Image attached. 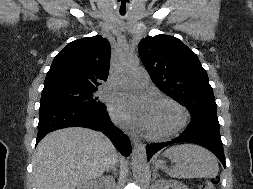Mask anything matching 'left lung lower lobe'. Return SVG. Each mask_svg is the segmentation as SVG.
<instances>
[{
	"mask_svg": "<svg viewBox=\"0 0 253 189\" xmlns=\"http://www.w3.org/2000/svg\"><path fill=\"white\" fill-rule=\"evenodd\" d=\"M179 142L195 143L209 149L226 167L223 145L219 133V122L207 119H192L187 128L179 137L170 142L153 143L146 146L147 159L149 160L162 148Z\"/></svg>",
	"mask_w": 253,
	"mask_h": 189,
	"instance_id": "1",
	"label": "left lung lower lobe"
}]
</instances>
